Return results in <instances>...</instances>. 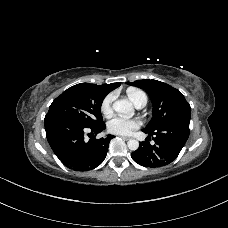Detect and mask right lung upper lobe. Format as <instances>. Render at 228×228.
I'll return each mask as SVG.
<instances>
[{
    "label": "right lung upper lobe",
    "instance_id": "obj_1",
    "mask_svg": "<svg viewBox=\"0 0 228 228\" xmlns=\"http://www.w3.org/2000/svg\"><path fill=\"white\" fill-rule=\"evenodd\" d=\"M96 85V84H94ZM99 89L104 91L106 94H108L110 91L114 90L115 88L120 86V83H111V84H105V85H96Z\"/></svg>",
    "mask_w": 228,
    "mask_h": 228
}]
</instances>
